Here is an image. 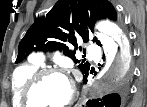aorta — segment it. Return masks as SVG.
Masks as SVG:
<instances>
[{
    "mask_svg": "<svg viewBox=\"0 0 147 107\" xmlns=\"http://www.w3.org/2000/svg\"><path fill=\"white\" fill-rule=\"evenodd\" d=\"M107 58V67L89 90L91 98L102 97L115 90L129 73L131 54L127 39L114 25L103 23L97 33Z\"/></svg>",
    "mask_w": 147,
    "mask_h": 107,
    "instance_id": "aorta-1",
    "label": "aorta"
}]
</instances>
